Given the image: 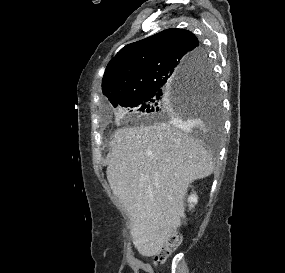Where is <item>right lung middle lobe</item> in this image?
I'll return each instance as SVG.
<instances>
[{
	"mask_svg": "<svg viewBox=\"0 0 285 273\" xmlns=\"http://www.w3.org/2000/svg\"><path fill=\"white\" fill-rule=\"evenodd\" d=\"M205 60L206 64L200 72L189 74L172 84L158 85L119 105L150 113L157 118L202 116L218 131L221 127L219 84L206 54Z\"/></svg>",
	"mask_w": 285,
	"mask_h": 273,
	"instance_id": "1",
	"label": "right lung middle lobe"
}]
</instances>
